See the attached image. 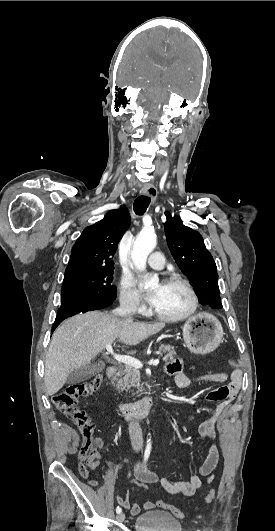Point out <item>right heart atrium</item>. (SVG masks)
<instances>
[{
	"instance_id": "obj_1",
	"label": "right heart atrium",
	"mask_w": 275,
	"mask_h": 531,
	"mask_svg": "<svg viewBox=\"0 0 275 531\" xmlns=\"http://www.w3.org/2000/svg\"><path fill=\"white\" fill-rule=\"evenodd\" d=\"M120 287L121 304L125 311L130 315L143 314L146 305L142 295L134 288L132 279L129 276H123Z\"/></svg>"
}]
</instances>
